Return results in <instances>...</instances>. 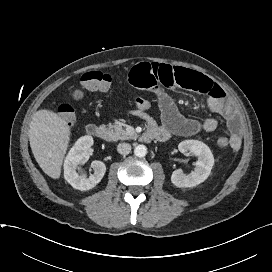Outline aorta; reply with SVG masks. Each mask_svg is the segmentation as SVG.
I'll return each mask as SVG.
<instances>
[{
    "label": "aorta",
    "mask_w": 272,
    "mask_h": 272,
    "mask_svg": "<svg viewBox=\"0 0 272 272\" xmlns=\"http://www.w3.org/2000/svg\"><path fill=\"white\" fill-rule=\"evenodd\" d=\"M134 154L137 157H144L147 154V148L144 145H138L134 149Z\"/></svg>",
    "instance_id": "obj_1"
}]
</instances>
